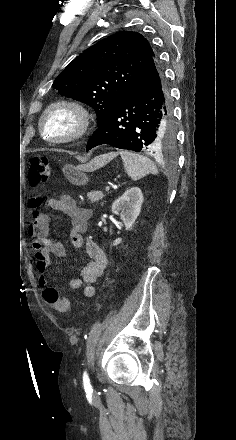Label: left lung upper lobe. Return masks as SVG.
Here are the masks:
<instances>
[{
  "instance_id": "1",
  "label": "left lung upper lobe",
  "mask_w": 236,
  "mask_h": 440,
  "mask_svg": "<svg viewBox=\"0 0 236 440\" xmlns=\"http://www.w3.org/2000/svg\"><path fill=\"white\" fill-rule=\"evenodd\" d=\"M156 55L138 32L121 31L100 40L76 57L56 78L61 95L90 105L97 126L147 70Z\"/></svg>"
}]
</instances>
